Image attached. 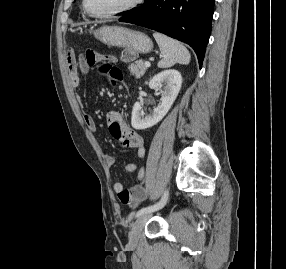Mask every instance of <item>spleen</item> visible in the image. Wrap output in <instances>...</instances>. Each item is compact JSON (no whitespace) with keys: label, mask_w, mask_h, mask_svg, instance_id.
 <instances>
[{"label":"spleen","mask_w":286,"mask_h":269,"mask_svg":"<svg viewBox=\"0 0 286 269\" xmlns=\"http://www.w3.org/2000/svg\"><path fill=\"white\" fill-rule=\"evenodd\" d=\"M153 37L163 55V58L158 62L159 68H169L176 63L189 64L191 56L182 43L157 32L153 34Z\"/></svg>","instance_id":"spleen-1"}]
</instances>
